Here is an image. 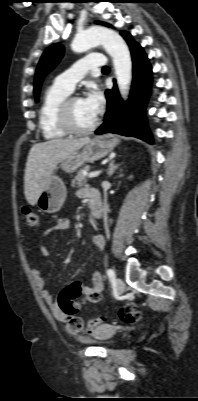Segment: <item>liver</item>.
Here are the masks:
<instances>
[{
	"mask_svg": "<svg viewBox=\"0 0 198 401\" xmlns=\"http://www.w3.org/2000/svg\"><path fill=\"white\" fill-rule=\"evenodd\" d=\"M90 141L89 137L79 139H53L32 146L27 157L24 174V193L32 206L45 188L57 165L76 154Z\"/></svg>",
	"mask_w": 198,
	"mask_h": 401,
	"instance_id": "1",
	"label": "liver"
}]
</instances>
